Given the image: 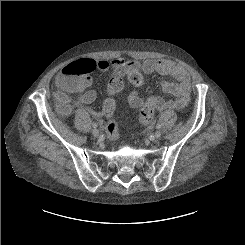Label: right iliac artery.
I'll return each instance as SVG.
<instances>
[{
	"label": "right iliac artery",
	"instance_id": "right-iliac-artery-1",
	"mask_svg": "<svg viewBox=\"0 0 245 245\" xmlns=\"http://www.w3.org/2000/svg\"><path fill=\"white\" fill-rule=\"evenodd\" d=\"M92 125H93V127H94V128H96V127H97V124H96V123H93Z\"/></svg>",
	"mask_w": 245,
	"mask_h": 245
}]
</instances>
